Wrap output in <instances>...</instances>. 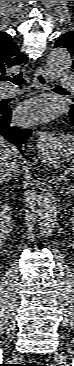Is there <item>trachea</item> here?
Listing matches in <instances>:
<instances>
[{"instance_id":"trachea-1","label":"trachea","mask_w":74,"mask_h":366,"mask_svg":"<svg viewBox=\"0 0 74 366\" xmlns=\"http://www.w3.org/2000/svg\"><path fill=\"white\" fill-rule=\"evenodd\" d=\"M3 80H4V81H8V80H10L12 83H14L15 85H18V86H20V85H22V84H24V83L26 82L25 78L23 77V73H22V72H21V73H19V74H17L16 76H14V77H12V78L5 77ZM55 88L62 89V88H61L60 86H58V85H55Z\"/></svg>"}]
</instances>
